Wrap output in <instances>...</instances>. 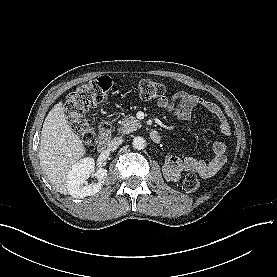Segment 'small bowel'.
<instances>
[{"label": "small bowel", "instance_id": "1", "mask_svg": "<svg viewBox=\"0 0 277 277\" xmlns=\"http://www.w3.org/2000/svg\"><path fill=\"white\" fill-rule=\"evenodd\" d=\"M157 104L159 107L172 113L181 121L189 120L193 107L200 106L219 118V129L223 134H228L230 132V127L224 119L219 107L214 103L196 95L180 91L175 93L171 99H159ZM225 151L226 145L223 142L218 141L213 145L214 158L209 162H205L193 157L180 159L176 156H167L165 165L167 170L181 169L184 171L195 172L200 176H207L214 167L222 165L225 162Z\"/></svg>", "mask_w": 277, "mask_h": 277}]
</instances>
